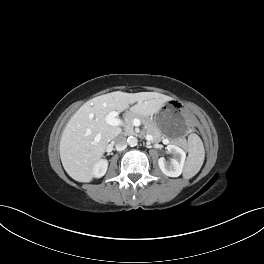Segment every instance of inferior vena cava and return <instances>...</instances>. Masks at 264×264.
<instances>
[{
    "instance_id": "obj_1",
    "label": "inferior vena cava",
    "mask_w": 264,
    "mask_h": 264,
    "mask_svg": "<svg viewBox=\"0 0 264 264\" xmlns=\"http://www.w3.org/2000/svg\"><path fill=\"white\" fill-rule=\"evenodd\" d=\"M114 144L117 151H122L127 147L126 137L118 135L114 138Z\"/></svg>"
}]
</instances>
